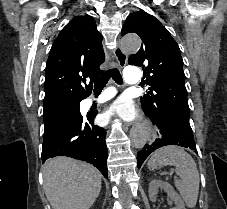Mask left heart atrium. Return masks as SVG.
<instances>
[{
  "instance_id": "1",
  "label": "left heart atrium",
  "mask_w": 227,
  "mask_h": 209,
  "mask_svg": "<svg viewBox=\"0 0 227 209\" xmlns=\"http://www.w3.org/2000/svg\"><path fill=\"white\" fill-rule=\"evenodd\" d=\"M137 114L134 105L129 101H117L110 107L108 116L115 115L124 120H132Z\"/></svg>"
}]
</instances>
